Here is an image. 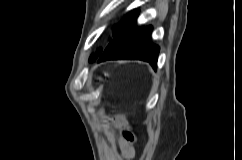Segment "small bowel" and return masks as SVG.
I'll return each instance as SVG.
<instances>
[{
  "instance_id": "c3829d8e",
  "label": "small bowel",
  "mask_w": 242,
  "mask_h": 160,
  "mask_svg": "<svg viewBox=\"0 0 242 160\" xmlns=\"http://www.w3.org/2000/svg\"><path fill=\"white\" fill-rule=\"evenodd\" d=\"M124 136L126 137L127 140L134 141L133 137H131V138L128 137L129 136L128 132H124ZM121 149H122V152L127 157H132L134 155V148L132 146H130L129 143H127V142L122 143Z\"/></svg>"
}]
</instances>
